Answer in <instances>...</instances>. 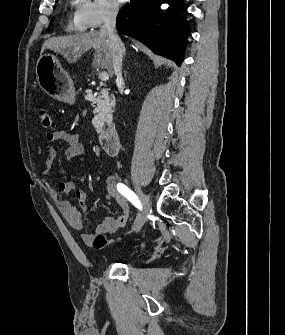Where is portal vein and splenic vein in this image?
<instances>
[{
	"instance_id": "obj_1",
	"label": "portal vein and splenic vein",
	"mask_w": 285,
	"mask_h": 335,
	"mask_svg": "<svg viewBox=\"0 0 285 335\" xmlns=\"http://www.w3.org/2000/svg\"><path fill=\"white\" fill-rule=\"evenodd\" d=\"M99 80H101V82H107V80H109L108 74L101 72V74H99Z\"/></svg>"
}]
</instances>
